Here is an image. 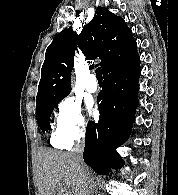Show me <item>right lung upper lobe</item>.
Wrapping results in <instances>:
<instances>
[{"label": "right lung upper lobe", "instance_id": "obj_1", "mask_svg": "<svg viewBox=\"0 0 178 195\" xmlns=\"http://www.w3.org/2000/svg\"><path fill=\"white\" fill-rule=\"evenodd\" d=\"M77 46L86 59H101L98 65L102 67L104 77L139 61L131 29L121 17L99 6L93 19L79 35L71 28L65 29L48 46L41 69L36 107L49 100L63 99L71 92L70 78Z\"/></svg>", "mask_w": 178, "mask_h": 195}]
</instances>
